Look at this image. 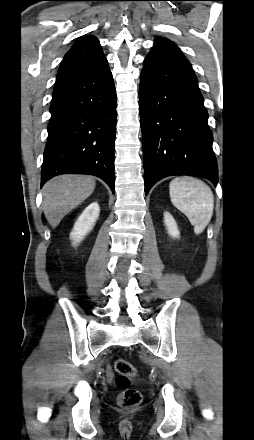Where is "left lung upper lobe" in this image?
I'll return each instance as SVG.
<instances>
[{
  "label": "left lung upper lobe",
  "instance_id": "1",
  "mask_svg": "<svg viewBox=\"0 0 254 440\" xmlns=\"http://www.w3.org/2000/svg\"><path fill=\"white\" fill-rule=\"evenodd\" d=\"M151 51L170 52L177 56L185 57L181 50L170 40L157 36L154 41V47Z\"/></svg>",
  "mask_w": 254,
  "mask_h": 440
}]
</instances>
